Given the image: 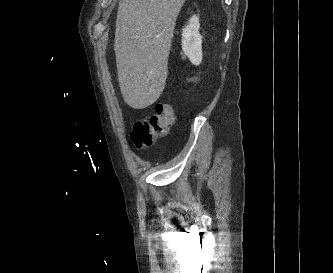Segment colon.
Listing matches in <instances>:
<instances>
[{"label":"colon","instance_id":"colon-1","mask_svg":"<svg viewBox=\"0 0 333 273\" xmlns=\"http://www.w3.org/2000/svg\"><path fill=\"white\" fill-rule=\"evenodd\" d=\"M173 122V106L167 102L157 103L154 113L150 117L135 123L131 139L137 148H148L155 143L157 138L167 134Z\"/></svg>","mask_w":333,"mask_h":273}]
</instances>
